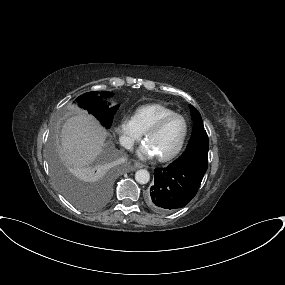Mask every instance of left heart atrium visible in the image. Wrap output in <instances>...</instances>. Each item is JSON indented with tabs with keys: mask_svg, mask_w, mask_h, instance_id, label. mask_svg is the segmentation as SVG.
Listing matches in <instances>:
<instances>
[{
	"mask_svg": "<svg viewBox=\"0 0 285 285\" xmlns=\"http://www.w3.org/2000/svg\"><path fill=\"white\" fill-rule=\"evenodd\" d=\"M137 155L141 158V159H149L152 158L154 156H156L155 151L153 150V148L151 147V145L145 141L140 148L137 151Z\"/></svg>",
	"mask_w": 285,
	"mask_h": 285,
	"instance_id": "39dd6f15",
	"label": "left heart atrium"
}]
</instances>
